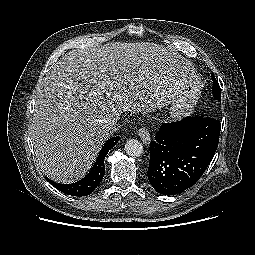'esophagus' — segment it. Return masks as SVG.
<instances>
[{
    "mask_svg": "<svg viewBox=\"0 0 255 255\" xmlns=\"http://www.w3.org/2000/svg\"><path fill=\"white\" fill-rule=\"evenodd\" d=\"M138 134H139L141 140H142L145 144H149V143H150V141H151L150 134H149V131H148L145 127H141V128L138 130Z\"/></svg>",
    "mask_w": 255,
    "mask_h": 255,
    "instance_id": "esophagus-1",
    "label": "esophagus"
}]
</instances>
